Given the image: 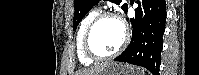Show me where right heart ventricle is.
<instances>
[{
	"instance_id": "1",
	"label": "right heart ventricle",
	"mask_w": 199,
	"mask_h": 75,
	"mask_svg": "<svg viewBox=\"0 0 199 75\" xmlns=\"http://www.w3.org/2000/svg\"><path fill=\"white\" fill-rule=\"evenodd\" d=\"M98 14L97 10H91L89 11L82 19L78 32H77V36H76V49H77V56L79 61L83 64V65H91L94 63V60L88 58L84 51H83V35L84 32L87 28V26L90 24V22L92 21V19Z\"/></svg>"
}]
</instances>
